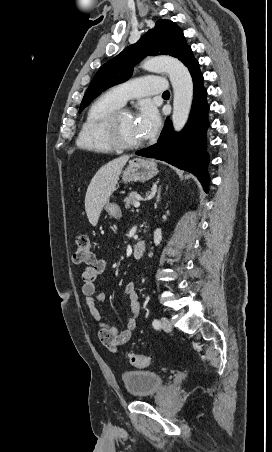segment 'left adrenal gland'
<instances>
[{
	"label": "left adrenal gland",
	"instance_id": "left-adrenal-gland-1",
	"mask_svg": "<svg viewBox=\"0 0 272 452\" xmlns=\"http://www.w3.org/2000/svg\"><path fill=\"white\" fill-rule=\"evenodd\" d=\"M161 196V185L158 188L157 197H156V203H159Z\"/></svg>",
	"mask_w": 272,
	"mask_h": 452
}]
</instances>
